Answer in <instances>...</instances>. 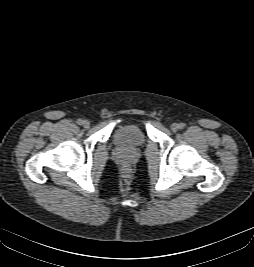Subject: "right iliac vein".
<instances>
[{"instance_id":"obj_1","label":"right iliac vein","mask_w":254,"mask_h":267,"mask_svg":"<svg viewBox=\"0 0 254 267\" xmlns=\"http://www.w3.org/2000/svg\"><path fill=\"white\" fill-rule=\"evenodd\" d=\"M83 127L84 128H89L90 127V122L88 120L83 121Z\"/></svg>"}]
</instances>
